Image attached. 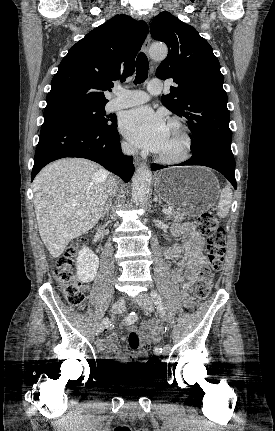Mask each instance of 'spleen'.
Returning a JSON list of instances; mask_svg holds the SVG:
<instances>
[{"label":"spleen","mask_w":275,"mask_h":431,"mask_svg":"<svg viewBox=\"0 0 275 431\" xmlns=\"http://www.w3.org/2000/svg\"><path fill=\"white\" fill-rule=\"evenodd\" d=\"M232 202V190L229 186H225L220 193V199L217 207V215L224 218L228 215Z\"/></svg>","instance_id":"obj_1"}]
</instances>
